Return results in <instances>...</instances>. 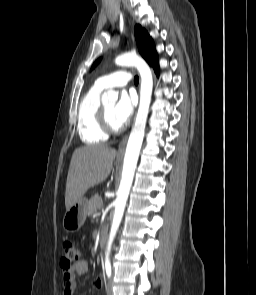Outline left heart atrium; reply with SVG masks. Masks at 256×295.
Masks as SVG:
<instances>
[{"label": "left heart atrium", "mask_w": 256, "mask_h": 295, "mask_svg": "<svg viewBox=\"0 0 256 295\" xmlns=\"http://www.w3.org/2000/svg\"><path fill=\"white\" fill-rule=\"evenodd\" d=\"M136 100L132 93L123 92L114 110V120L119 127L124 126L130 120Z\"/></svg>", "instance_id": "1"}]
</instances>
